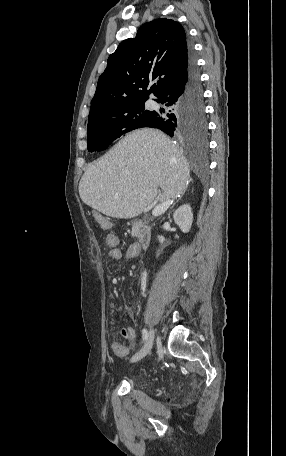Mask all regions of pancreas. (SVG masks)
I'll return each mask as SVG.
<instances>
[{"label":"pancreas","instance_id":"cf45deb5","mask_svg":"<svg viewBox=\"0 0 286 456\" xmlns=\"http://www.w3.org/2000/svg\"><path fill=\"white\" fill-rule=\"evenodd\" d=\"M139 234H140V229L138 227V225H133L132 226V231H131V236L132 237H139Z\"/></svg>","mask_w":286,"mask_h":456}]
</instances>
